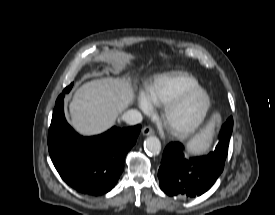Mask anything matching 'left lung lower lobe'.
I'll list each match as a JSON object with an SVG mask.
<instances>
[{
  "label": "left lung lower lobe",
  "instance_id": "obj_1",
  "mask_svg": "<svg viewBox=\"0 0 275 215\" xmlns=\"http://www.w3.org/2000/svg\"><path fill=\"white\" fill-rule=\"evenodd\" d=\"M232 129L224 131L223 143L229 144ZM183 149L179 142L167 145L163 152L158 178L160 188L168 196L190 199L202 195L212 187L222 173L225 161L210 153L187 159Z\"/></svg>",
  "mask_w": 275,
  "mask_h": 215
}]
</instances>
